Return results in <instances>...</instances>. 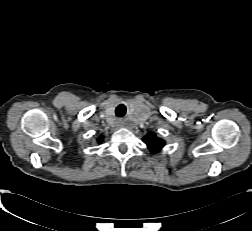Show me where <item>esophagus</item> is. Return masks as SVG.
<instances>
[{"instance_id":"1","label":"esophagus","mask_w":252,"mask_h":231,"mask_svg":"<svg viewBox=\"0 0 252 231\" xmlns=\"http://www.w3.org/2000/svg\"><path fill=\"white\" fill-rule=\"evenodd\" d=\"M123 121L121 119L117 120V126H122Z\"/></svg>"}]
</instances>
